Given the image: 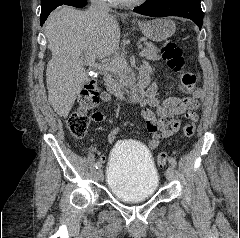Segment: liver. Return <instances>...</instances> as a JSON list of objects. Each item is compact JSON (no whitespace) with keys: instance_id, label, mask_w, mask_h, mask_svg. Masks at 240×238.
Wrapping results in <instances>:
<instances>
[{"instance_id":"obj_1","label":"liver","mask_w":240,"mask_h":238,"mask_svg":"<svg viewBox=\"0 0 240 238\" xmlns=\"http://www.w3.org/2000/svg\"><path fill=\"white\" fill-rule=\"evenodd\" d=\"M52 59L47 64L48 101L68 117L86 79L81 55L103 59L119 49L120 29L115 15H94L62 6L45 23Z\"/></svg>"}]
</instances>
